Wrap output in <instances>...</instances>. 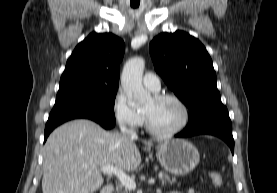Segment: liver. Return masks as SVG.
Here are the masks:
<instances>
[{
  "label": "liver",
  "mask_w": 277,
  "mask_h": 193,
  "mask_svg": "<svg viewBox=\"0 0 277 193\" xmlns=\"http://www.w3.org/2000/svg\"><path fill=\"white\" fill-rule=\"evenodd\" d=\"M134 140L107 132L90 120L63 124L45 144L43 193H93L104 182L100 167L136 169L141 155Z\"/></svg>",
  "instance_id": "1"
}]
</instances>
